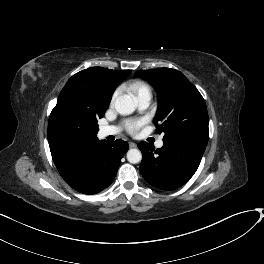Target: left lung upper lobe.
Segmentation results:
<instances>
[{
  "instance_id": "obj_1",
  "label": "left lung upper lobe",
  "mask_w": 264,
  "mask_h": 264,
  "mask_svg": "<svg viewBox=\"0 0 264 264\" xmlns=\"http://www.w3.org/2000/svg\"><path fill=\"white\" fill-rule=\"evenodd\" d=\"M134 77L147 80L159 96L154 119L156 133L163 140L196 137L208 141V113L197 88L178 70L160 68L139 70Z\"/></svg>"
}]
</instances>
